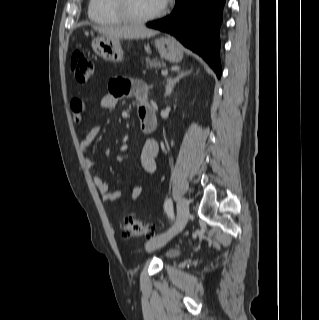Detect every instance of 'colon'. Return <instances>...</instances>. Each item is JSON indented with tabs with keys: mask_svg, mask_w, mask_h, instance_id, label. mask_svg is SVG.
Masks as SVG:
<instances>
[{
	"mask_svg": "<svg viewBox=\"0 0 319 320\" xmlns=\"http://www.w3.org/2000/svg\"><path fill=\"white\" fill-rule=\"evenodd\" d=\"M71 68L79 83L88 82L94 74L93 62L80 50L72 54ZM155 229V224L146 223L133 216H127L122 223V236L124 238L145 237L149 239L154 236Z\"/></svg>",
	"mask_w": 319,
	"mask_h": 320,
	"instance_id": "1",
	"label": "colon"
}]
</instances>
